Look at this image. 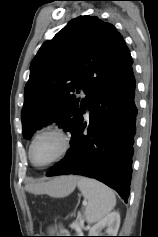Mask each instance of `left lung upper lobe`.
I'll return each instance as SVG.
<instances>
[{
  "instance_id": "5c2ea615",
  "label": "left lung upper lobe",
  "mask_w": 158,
  "mask_h": 237,
  "mask_svg": "<svg viewBox=\"0 0 158 237\" xmlns=\"http://www.w3.org/2000/svg\"><path fill=\"white\" fill-rule=\"evenodd\" d=\"M132 63L112 24L88 15L70 21L31 62L21 114L24 138L52 122L72 134L88 103ZM80 91L85 99L76 97Z\"/></svg>"
}]
</instances>
